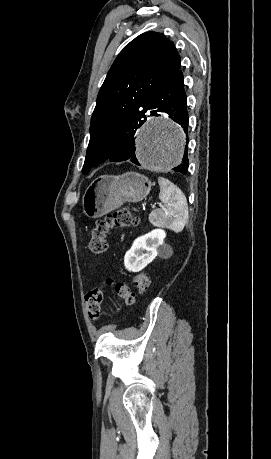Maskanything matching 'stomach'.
<instances>
[{"instance_id":"0dacf381","label":"stomach","mask_w":271,"mask_h":459,"mask_svg":"<svg viewBox=\"0 0 271 459\" xmlns=\"http://www.w3.org/2000/svg\"><path fill=\"white\" fill-rule=\"evenodd\" d=\"M151 182L136 172L122 176H98L88 186L82 200L88 218H101L121 208L125 202H141L151 190Z\"/></svg>"}]
</instances>
